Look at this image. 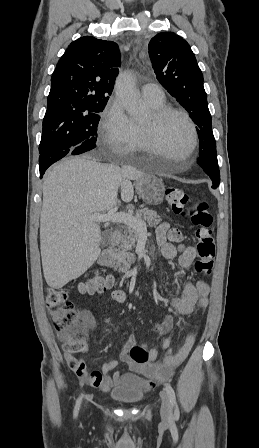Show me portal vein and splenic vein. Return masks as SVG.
Instances as JSON below:
<instances>
[{
  "instance_id": "obj_1",
  "label": "portal vein and splenic vein",
  "mask_w": 259,
  "mask_h": 448,
  "mask_svg": "<svg viewBox=\"0 0 259 448\" xmlns=\"http://www.w3.org/2000/svg\"><path fill=\"white\" fill-rule=\"evenodd\" d=\"M87 218L94 220V222H119V224H126V226L133 228V230H137L139 234L147 232L145 222H142L139 218H134L132 214H124V212L109 210L107 214H89Z\"/></svg>"
}]
</instances>
